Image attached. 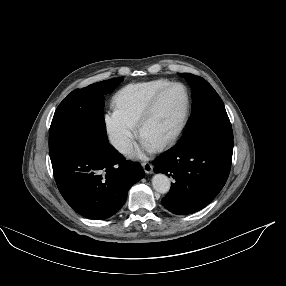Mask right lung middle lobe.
Masks as SVG:
<instances>
[{
  "mask_svg": "<svg viewBox=\"0 0 286 286\" xmlns=\"http://www.w3.org/2000/svg\"><path fill=\"white\" fill-rule=\"evenodd\" d=\"M122 80L110 79L76 89L59 104L49 130L51 159L77 147H87L104 156L115 153L106 135L103 96Z\"/></svg>",
  "mask_w": 286,
  "mask_h": 286,
  "instance_id": "obj_1",
  "label": "right lung middle lobe"
}]
</instances>
